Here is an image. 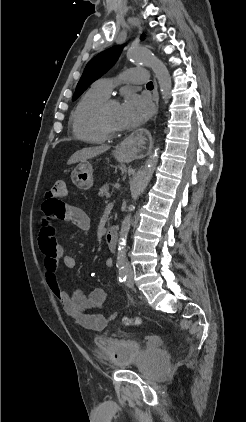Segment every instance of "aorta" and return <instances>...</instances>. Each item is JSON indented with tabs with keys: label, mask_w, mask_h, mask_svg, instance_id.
Here are the masks:
<instances>
[{
	"label": "aorta",
	"mask_w": 246,
	"mask_h": 422,
	"mask_svg": "<svg viewBox=\"0 0 246 422\" xmlns=\"http://www.w3.org/2000/svg\"><path fill=\"white\" fill-rule=\"evenodd\" d=\"M127 57L131 62L145 64L153 70L158 80L161 95L167 101L171 94L172 83L169 71L165 64L160 59H158L152 52L141 46L131 47L127 51ZM157 163L158 154L155 151V153H152L149 156L143 169H141L137 173L135 179V188L133 192L135 198H138L144 193L152 178ZM133 209L134 205H131L129 211H132ZM131 220L132 217L130 214H128L125 216L121 225L117 253V264L119 266H123L125 263L126 243L127 236L130 230Z\"/></svg>",
	"instance_id": "obj_1"
}]
</instances>
